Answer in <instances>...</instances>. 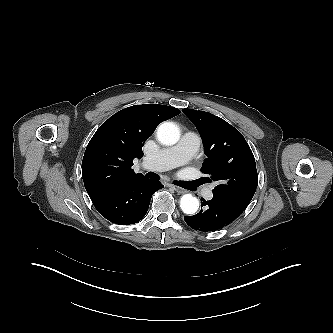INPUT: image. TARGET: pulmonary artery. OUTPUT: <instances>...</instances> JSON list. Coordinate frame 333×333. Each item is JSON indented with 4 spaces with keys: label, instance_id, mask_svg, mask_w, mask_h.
I'll return each instance as SVG.
<instances>
[{
    "label": "pulmonary artery",
    "instance_id": "e3ab8cb5",
    "mask_svg": "<svg viewBox=\"0 0 333 333\" xmlns=\"http://www.w3.org/2000/svg\"><path fill=\"white\" fill-rule=\"evenodd\" d=\"M201 144V138L194 132H186L179 142L172 147L164 148L155 154L144 158L145 168L152 170H168L188 162L197 152ZM206 199L210 200L213 193L210 189L204 193Z\"/></svg>",
    "mask_w": 333,
    "mask_h": 333
}]
</instances>
